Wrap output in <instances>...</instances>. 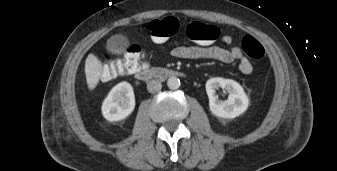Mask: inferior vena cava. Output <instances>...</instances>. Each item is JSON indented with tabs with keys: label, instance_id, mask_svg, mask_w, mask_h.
Returning a JSON list of instances; mask_svg holds the SVG:
<instances>
[{
	"label": "inferior vena cava",
	"instance_id": "602c4592",
	"mask_svg": "<svg viewBox=\"0 0 337 171\" xmlns=\"http://www.w3.org/2000/svg\"><path fill=\"white\" fill-rule=\"evenodd\" d=\"M162 84L159 80H151L147 84V90L150 93H157L161 90Z\"/></svg>",
	"mask_w": 337,
	"mask_h": 171
}]
</instances>
